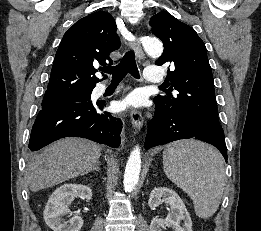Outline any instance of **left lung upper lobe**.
<instances>
[{"label":"left lung upper lobe","instance_id":"5c2ea615","mask_svg":"<svg viewBox=\"0 0 261 231\" xmlns=\"http://www.w3.org/2000/svg\"><path fill=\"white\" fill-rule=\"evenodd\" d=\"M150 25L164 44V52L155 64L173 69H168L167 79L175 89L174 93L167 91L165 96H156L154 102L167 110L183 111L223 133L203 41L191 27L167 12L152 16Z\"/></svg>","mask_w":261,"mask_h":231}]
</instances>
